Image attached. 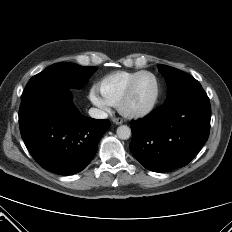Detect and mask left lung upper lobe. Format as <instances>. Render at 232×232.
I'll return each instance as SVG.
<instances>
[{
    "label": "left lung upper lobe",
    "instance_id": "obj_1",
    "mask_svg": "<svg viewBox=\"0 0 232 232\" xmlns=\"http://www.w3.org/2000/svg\"><path fill=\"white\" fill-rule=\"evenodd\" d=\"M159 71L164 76L168 86V95L166 101L187 90L201 87V84L194 77L176 68L160 65Z\"/></svg>",
    "mask_w": 232,
    "mask_h": 232
}]
</instances>
